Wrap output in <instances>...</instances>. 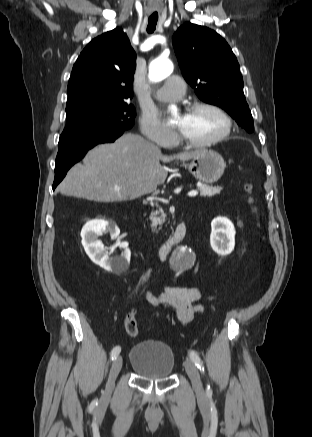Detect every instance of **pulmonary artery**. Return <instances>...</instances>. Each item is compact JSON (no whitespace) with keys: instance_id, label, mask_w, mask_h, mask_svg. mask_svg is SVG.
<instances>
[{"instance_id":"pulmonary-artery-1","label":"pulmonary artery","mask_w":312,"mask_h":437,"mask_svg":"<svg viewBox=\"0 0 312 437\" xmlns=\"http://www.w3.org/2000/svg\"><path fill=\"white\" fill-rule=\"evenodd\" d=\"M185 94V82L178 76L169 77L157 91L156 98L161 101H176Z\"/></svg>"}]
</instances>
